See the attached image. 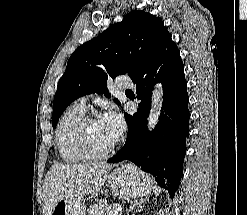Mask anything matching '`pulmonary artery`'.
<instances>
[{"instance_id":"obj_1","label":"pulmonary artery","mask_w":247,"mask_h":215,"mask_svg":"<svg viewBox=\"0 0 247 215\" xmlns=\"http://www.w3.org/2000/svg\"><path fill=\"white\" fill-rule=\"evenodd\" d=\"M134 86L133 81L126 76H118L115 82V87L117 89H126V88H132ZM86 97H81L77 100L76 104L79 105L82 108H85L86 106Z\"/></svg>"}]
</instances>
